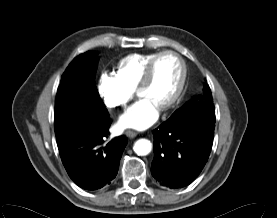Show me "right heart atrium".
Segmentation results:
<instances>
[{"mask_svg":"<svg viewBox=\"0 0 277 218\" xmlns=\"http://www.w3.org/2000/svg\"><path fill=\"white\" fill-rule=\"evenodd\" d=\"M98 92L108 108H117L125 106L132 99L135 89L118 73L104 70L99 77Z\"/></svg>","mask_w":277,"mask_h":218,"instance_id":"obj_1","label":"right heart atrium"}]
</instances>
